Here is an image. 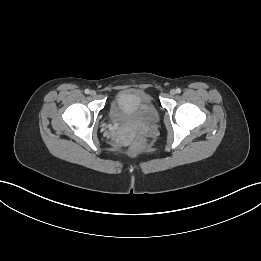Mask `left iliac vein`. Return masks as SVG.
I'll use <instances>...</instances> for the list:
<instances>
[{
  "mask_svg": "<svg viewBox=\"0 0 261 261\" xmlns=\"http://www.w3.org/2000/svg\"><path fill=\"white\" fill-rule=\"evenodd\" d=\"M175 94H176V90L175 89L170 90V95L171 96H174Z\"/></svg>",
  "mask_w": 261,
  "mask_h": 261,
  "instance_id": "1",
  "label": "left iliac vein"
}]
</instances>
